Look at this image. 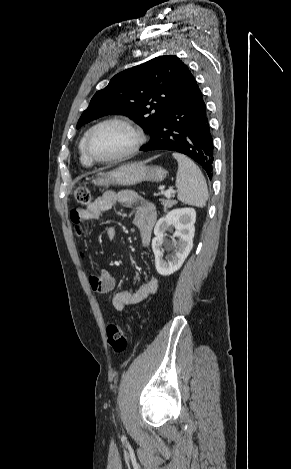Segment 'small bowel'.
I'll return each instance as SVG.
<instances>
[{
    "label": "small bowel",
    "instance_id": "c3829d8e",
    "mask_svg": "<svg viewBox=\"0 0 291 469\" xmlns=\"http://www.w3.org/2000/svg\"><path fill=\"white\" fill-rule=\"evenodd\" d=\"M116 202L132 207L134 209L133 223L137 227L143 246H147L152 238V229L156 221V210L152 203L139 196L131 190L119 192L106 191L86 209H77L72 212L71 219L75 224L79 236L83 233L82 224L85 221L99 222L105 211L110 209ZM107 238L113 241L116 236V227L108 226ZM89 284L93 291L106 294L114 290L116 279L110 271L101 269L95 275L89 276ZM157 289V280L151 278L144 281L135 291H121L114 294L112 305L116 311H123L126 306L137 304Z\"/></svg>",
    "mask_w": 291,
    "mask_h": 469
}]
</instances>
